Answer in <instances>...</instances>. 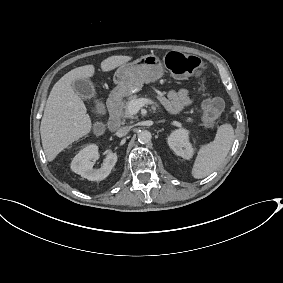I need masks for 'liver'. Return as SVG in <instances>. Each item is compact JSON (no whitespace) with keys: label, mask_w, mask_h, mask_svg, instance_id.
<instances>
[{"label":"liver","mask_w":283,"mask_h":283,"mask_svg":"<svg viewBox=\"0 0 283 283\" xmlns=\"http://www.w3.org/2000/svg\"><path fill=\"white\" fill-rule=\"evenodd\" d=\"M132 59L133 56H110L101 62V71L111 72ZM94 75L95 66L84 65L66 73L53 86L40 125L42 147L48 162L54 161L64 149L91 132L92 120L84 102L76 94L74 84Z\"/></svg>","instance_id":"1"}]
</instances>
